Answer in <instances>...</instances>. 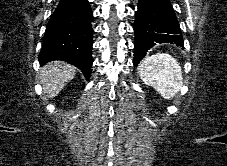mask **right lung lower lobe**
Wrapping results in <instances>:
<instances>
[{
  "label": "right lung lower lobe",
  "mask_w": 227,
  "mask_h": 166,
  "mask_svg": "<svg viewBox=\"0 0 227 166\" xmlns=\"http://www.w3.org/2000/svg\"><path fill=\"white\" fill-rule=\"evenodd\" d=\"M92 21L87 0H60L45 31L40 63L66 61L79 68L88 79L93 62Z\"/></svg>",
  "instance_id": "1"
}]
</instances>
